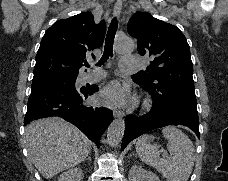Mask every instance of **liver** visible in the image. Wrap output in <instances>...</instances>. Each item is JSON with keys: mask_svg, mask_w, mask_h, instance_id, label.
Returning a JSON list of instances; mask_svg holds the SVG:
<instances>
[{"mask_svg": "<svg viewBox=\"0 0 228 181\" xmlns=\"http://www.w3.org/2000/svg\"><path fill=\"white\" fill-rule=\"evenodd\" d=\"M25 143L31 163L44 179L80 165L91 143L77 127L59 117L39 119L27 125Z\"/></svg>", "mask_w": 228, "mask_h": 181, "instance_id": "6515ba94", "label": "liver"}]
</instances>
